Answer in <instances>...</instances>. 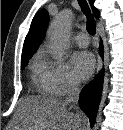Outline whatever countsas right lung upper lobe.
<instances>
[{"label":"right lung upper lobe","instance_id":"1","mask_svg":"<svg viewBox=\"0 0 123 130\" xmlns=\"http://www.w3.org/2000/svg\"><path fill=\"white\" fill-rule=\"evenodd\" d=\"M93 14L99 17V10L93 6L94 0H89ZM49 22V15L45 9L40 10L32 20L30 30L25 38L22 56L33 55L43 39Z\"/></svg>","mask_w":123,"mask_h":130}]
</instances>
